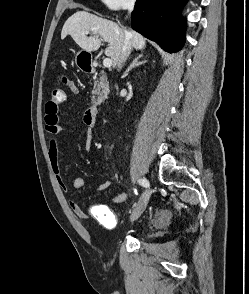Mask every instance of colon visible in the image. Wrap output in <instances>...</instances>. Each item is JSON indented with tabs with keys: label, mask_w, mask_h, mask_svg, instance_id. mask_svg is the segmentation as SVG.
Returning <instances> with one entry per match:
<instances>
[{
	"label": "colon",
	"mask_w": 249,
	"mask_h": 294,
	"mask_svg": "<svg viewBox=\"0 0 249 294\" xmlns=\"http://www.w3.org/2000/svg\"><path fill=\"white\" fill-rule=\"evenodd\" d=\"M65 93L61 88H53L50 94L49 103L56 106L64 102Z\"/></svg>",
	"instance_id": "5ec220e1"
}]
</instances>
